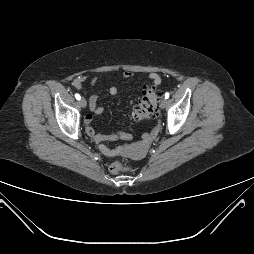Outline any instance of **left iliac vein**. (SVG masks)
Masks as SVG:
<instances>
[{
	"instance_id": "1",
	"label": "left iliac vein",
	"mask_w": 254,
	"mask_h": 254,
	"mask_svg": "<svg viewBox=\"0 0 254 254\" xmlns=\"http://www.w3.org/2000/svg\"><path fill=\"white\" fill-rule=\"evenodd\" d=\"M166 105H167V100H166L165 98H163V99L161 100V102H160V107H161L162 109H164V108L166 107Z\"/></svg>"
}]
</instances>
